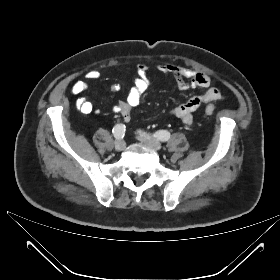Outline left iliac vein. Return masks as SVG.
<instances>
[{"label":"left iliac vein","instance_id":"1","mask_svg":"<svg viewBox=\"0 0 280 280\" xmlns=\"http://www.w3.org/2000/svg\"><path fill=\"white\" fill-rule=\"evenodd\" d=\"M140 140L148 145L149 147L153 148L154 150H160L162 145L158 139L151 138V137H141Z\"/></svg>","mask_w":280,"mask_h":280}]
</instances>
